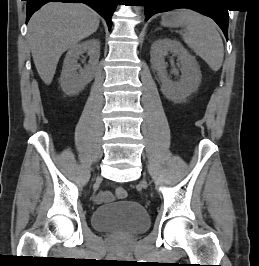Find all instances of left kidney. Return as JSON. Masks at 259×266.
I'll return each instance as SVG.
<instances>
[{
    "mask_svg": "<svg viewBox=\"0 0 259 266\" xmlns=\"http://www.w3.org/2000/svg\"><path fill=\"white\" fill-rule=\"evenodd\" d=\"M169 53L177 55L180 60L179 82H173L167 76L165 56ZM150 55L152 67L161 82V91L167 99L180 103L197 91L201 81L198 63L179 41L169 38L158 39L153 43Z\"/></svg>",
    "mask_w": 259,
    "mask_h": 266,
    "instance_id": "obj_1",
    "label": "left kidney"
}]
</instances>
